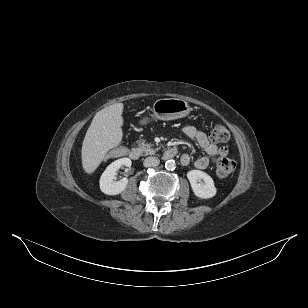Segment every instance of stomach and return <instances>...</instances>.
<instances>
[{
	"instance_id": "1",
	"label": "stomach",
	"mask_w": 308,
	"mask_h": 308,
	"mask_svg": "<svg viewBox=\"0 0 308 308\" xmlns=\"http://www.w3.org/2000/svg\"><path fill=\"white\" fill-rule=\"evenodd\" d=\"M188 102L180 98H162L154 102L152 108V118L156 120H174L187 116L190 113ZM148 118L142 122L147 123Z\"/></svg>"
}]
</instances>
